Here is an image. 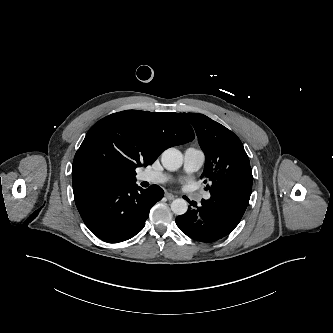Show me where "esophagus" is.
<instances>
[{"label":"esophagus","instance_id":"esophagus-1","mask_svg":"<svg viewBox=\"0 0 333 333\" xmlns=\"http://www.w3.org/2000/svg\"><path fill=\"white\" fill-rule=\"evenodd\" d=\"M165 197L168 199V200H173L175 198V196L171 193H165Z\"/></svg>","mask_w":333,"mask_h":333}]
</instances>
